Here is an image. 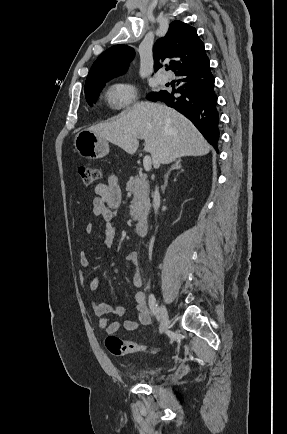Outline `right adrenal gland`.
<instances>
[{
  "label": "right adrenal gland",
  "mask_w": 287,
  "mask_h": 434,
  "mask_svg": "<svg viewBox=\"0 0 287 434\" xmlns=\"http://www.w3.org/2000/svg\"><path fill=\"white\" fill-rule=\"evenodd\" d=\"M181 159H178L174 162V164L171 166V168L169 169V171L166 173L165 175V179H164V185L162 186V189L164 190L168 184V177L169 174L172 170H177V169H181ZM182 170V169H181ZM183 171V170H182Z\"/></svg>",
  "instance_id": "1"
}]
</instances>
